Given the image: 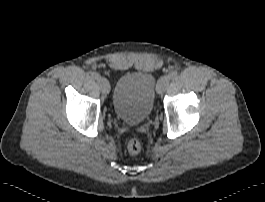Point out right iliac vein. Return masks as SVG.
Listing matches in <instances>:
<instances>
[{
    "label": "right iliac vein",
    "mask_w": 265,
    "mask_h": 202,
    "mask_svg": "<svg viewBox=\"0 0 265 202\" xmlns=\"http://www.w3.org/2000/svg\"><path fill=\"white\" fill-rule=\"evenodd\" d=\"M97 84H98V86L100 87L101 91L104 94H108L109 93V91H110V85H109L108 81L105 78L99 77L97 79Z\"/></svg>",
    "instance_id": "1"
}]
</instances>
